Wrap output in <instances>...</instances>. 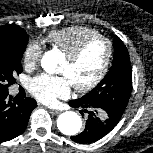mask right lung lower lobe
<instances>
[{
	"instance_id": "right-lung-lower-lobe-1",
	"label": "right lung lower lobe",
	"mask_w": 153,
	"mask_h": 153,
	"mask_svg": "<svg viewBox=\"0 0 153 153\" xmlns=\"http://www.w3.org/2000/svg\"><path fill=\"white\" fill-rule=\"evenodd\" d=\"M36 106L37 103L32 98L16 100L8 92H0V142L22 134Z\"/></svg>"
}]
</instances>
